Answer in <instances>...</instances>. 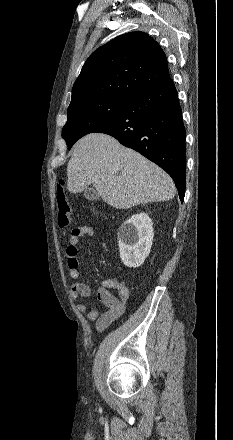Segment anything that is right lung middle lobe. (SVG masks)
<instances>
[{"label":"right lung middle lobe","instance_id":"obj_1","mask_svg":"<svg viewBox=\"0 0 233 440\" xmlns=\"http://www.w3.org/2000/svg\"><path fill=\"white\" fill-rule=\"evenodd\" d=\"M128 99L95 97L70 104L62 137L68 148L86 134L92 133L114 119Z\"/></svg>","mask_w":233,"mask_h":440}]
</instances>
